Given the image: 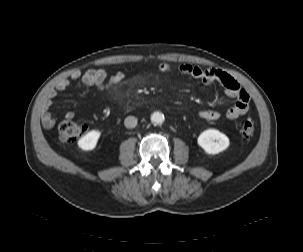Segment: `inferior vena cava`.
I'll use <instances>...</instances> for the list:
<instances>
[{"label":"inferior vena cava","instance_id":"1","mask_svg":"<svg viewBox=\"0 0 303 252\" xmlns=\"http://www.w3.org/2000/svg\"><path fill=\"white\" fill-rule=\"evenodd\" d=\"M124 124L127 128H134L137 125V118L134 116H128L125 118Z\"/></svg>","mask_w":303,"mask_h":252}]
</instances>
